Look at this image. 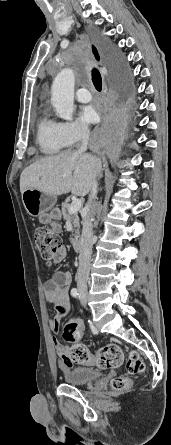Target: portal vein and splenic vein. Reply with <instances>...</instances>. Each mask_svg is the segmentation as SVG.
<instances>
[{
	"label": "portal vein and splenic vein",
	"instance_id": "18ae733b",
	"mask_svg": "<svg viewBox=\"0 0 171 445\" xmlns=\"http://www.w3.org/2000/svg\"><path fill=\"white\" fill-rule=\"evenodd\" d=\"M81 205H82L81 200H79V199L73 200L69 209H68V212L70 214L76 213L81 208Z\"/></svg>",
	"mask_w": 171,
	"mask_h": 445
}]
</instances>
